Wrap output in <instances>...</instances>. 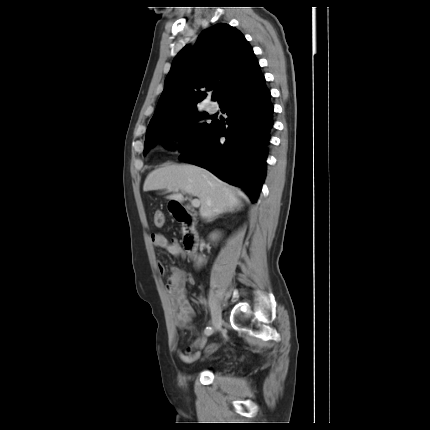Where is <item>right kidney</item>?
<instances>
[{"mask_svg": "<svg viewBox=\"0 0 430 430\" xmlns=\"http://www.w3.org/2000/svg\"><path fill=\"white\" fill-rule=\"evenodd\" d=\"M216 236H217L216 234H213V235H212V238L214 239V238H216ZM201 261H202V259H201V257H200V258H199V262H201Z\"/></svg>", "mask_w": 430, "mask_h": 430, "instance_id": "ca27d5eb", "label": "right kidney"}]
</instances>
